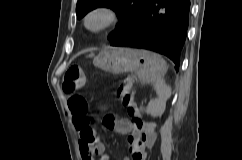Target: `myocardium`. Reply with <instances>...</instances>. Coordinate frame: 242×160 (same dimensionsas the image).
<instances>
[{
  "label": "myocardium",
  "mask_w": 242,
  "mask_h": 160,
  "mask_svg": "<svg viewBox=\"0 0 242 160\" xmlns=\"http://www.w3.org/2000/svg\"><path fill=\"white\" fill-rule=\"evenodd\" d=\"M101 16L102 22L100 25L94 27L91 24V21L94 17ZM119 22V14L111 6L108 5H99L91 8L84 16L83 24L87 31H89L92 34H101L115 25Z\"/></svg>",
  "instance_id": "obj_1"
}]
</instances>
